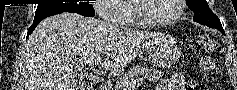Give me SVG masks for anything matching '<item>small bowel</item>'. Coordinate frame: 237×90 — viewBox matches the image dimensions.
<instances>
[{
    "label": "small bowel",
    "mask_w": 237,
    "mask_h": 90,
    "mask_svg": "<svg viewBox=\"0 0 237 90\" xmlns=\"http://www.w3.org/2000/svg\"><path fill=\"white\" fill-rule=\"evenodd\" d=\"M213 70L211 63L201 65V73L206 75ZM196 81H187L181 74H171L160 79L156 90H197Z\"/></svg>",
    "instance_id": "c3829d8e"
}]
</instances>
